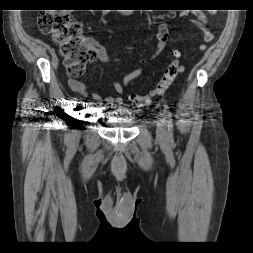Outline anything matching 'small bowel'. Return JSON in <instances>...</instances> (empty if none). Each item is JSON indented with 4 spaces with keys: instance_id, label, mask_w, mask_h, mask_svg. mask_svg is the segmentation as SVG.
I'll list each match as a JSON object with an SVG mask.
<instances>
[{
    "instance_id": "small-bowel-1",
    "label": "small bowel",
    "mask_w": 253,
    "mask_h": 253,
    "mask_svg": "<svg viewBox=\"0 0 253 253\" xmlns=\"http://www.w3.org/2000/svg\"><path fill=\"white\" fill-rule=\"evenodd\" d=\"M181 18H188L190 19L203 33V37L204 40L206 42H210L213 40L214 35L213 33L207 28V18L206 15L203 13H187V12H182L180 14ZM157 43L153 49V51L151 52V54L146 57V58H141L139 60H137L135 62V68L129 72L128 74L125 75L124 79H123V83H119L118 81L114 80L112 85L113 88L115 89V91L120 95L118 97H107L105 99H103L98 93L96 92H92L90 94H88L87 92V85L82 82L81 80L69 76L68 79V83L70 88L86 97L88 95H90V97L92 99H94L96 102L100 103V104H106V105H115V106H122L123 105V99L121 97V95L124 94V88L126 87H131L133 86L134 80L139 77L142 73V67L149 61L155 59L158 55H160L166 48L168 41H169V28L167 23L165 22H160L158 24V28H157ZM91 46L94 48L95 50V58L98 59L99 61L103 62V63H119L120 60L119 59H115V58H111L106 49L102 46H100L99 44L95 43V42H91L90 41ZM199 49L204 51L207 49V46L205 44H202L199 46ZM175 53H179V51H174L173 54Z\"/></svg>"
}]
</instances>
